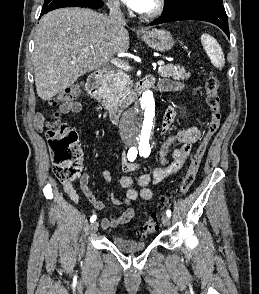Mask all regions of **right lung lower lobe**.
<instances>
[{"label": "right lung lower lobe", "mask_w": 259, "mask_h": 294, "mask_svg": "<svg viewBox=\"0 0 259 294\" xmlns=\"http://www.w3.org/2000/svg\"><path fill=\"white\" fill-rule=\"evenodd\" d=\"M103 6V3H102V0H98L96 1L95 3L91 4V5H88V6H83V7H88V8H100ZM62 7H79V6H74V5H68V4H65V5H59V6H56L55 8H53L52 10L54 9H58V8H62ZM50 10V11H52ZM46 14V13H44ZM44 14H41V15H44Z\"/></svg>", "instance_id": "right-lung-lower-lobe-1"}]
</instances>
